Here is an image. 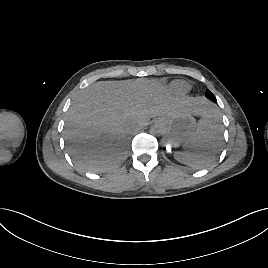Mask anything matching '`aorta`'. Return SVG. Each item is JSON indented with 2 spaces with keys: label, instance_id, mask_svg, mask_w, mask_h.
<instances>
[{
  "label": "aorta",
  "instance_id": "obj_1",
  "mask_svg": "<svg viewBox=\"0 0 268 268\" xmlns=\"http://www.w3.org/2000/svg\"><path fill=\"white\" fill-rule=\"evenodd\" d=\"M150 133L152 135H160L162 133V129L159 126L154 125L150 129Z\"/></svg>",
  "mask_w": 268,
  "mask_h": 268
}]
</instances>
